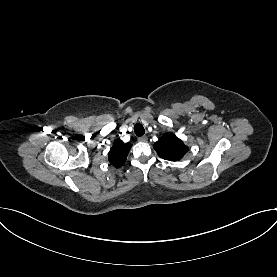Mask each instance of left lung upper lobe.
Returning a JSON list of instances; mask_svg holds the SVG:
<instances>
[{"instance_id":"5c2ea615","label":"left lung upper lobe","mask_w":277,"mask_h":277,"mask_svg":"<svg viewBox=\"0 0 277 277\" xmlns=\"http://www.w3.org/2000/svg\"><path fill=\"white\" fill-rule=\"evenodd\" d=\"M154 149L161 158L169 161L180 160L188 151L183 141L172 133H167L159 138L154 144Z\"/></svg>"}]
</instances>
